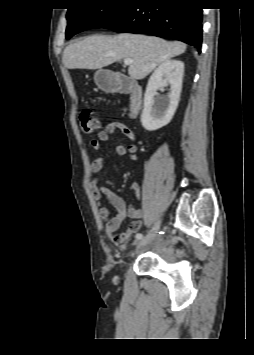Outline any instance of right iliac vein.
<instances>
[{
	"label": "right iliac vein",
	"instance_id": "63e3f726",
	"mask_svg": "<svg viewBox=\"0 0 254 355\" xmlns=\"http://www.w3.org/2000/svg\"><path fill=\"white\" fill-rule=\"evenodd\" d=\"M161 225L160 219L156 222L153 229L142 239L139 241L137 245V249H142L145 245H147L155 236V233L159 230Z\"/></svg>",
	"mask_w": 254,
	"mask_h": 355
}]
</instances>
